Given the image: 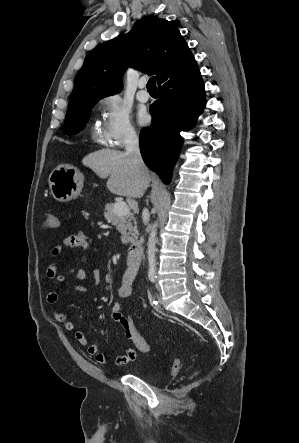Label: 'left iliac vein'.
<instances>
[{"label": "left iliac vein", "instance_id": "4c4485c4", "mask_svg": "<svg viewBox=\"0 0 299 443\" xmlns=\"http://www.w3.org/2000/svg\"><path fill=\"white\" fill-rule=\"evenodd\" d=\"M156 288L159 291V297L161 298V287L158 283L156 284Z\"/></svg>", "mask_w": 299, "mask_h": 443}]
</instances>
